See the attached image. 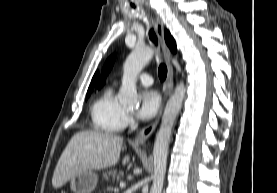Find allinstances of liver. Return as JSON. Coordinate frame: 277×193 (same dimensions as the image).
I'll return each instance as SVG.
<instances>
[{
	"mask_svg": "<svg viewBox=\"0 0 277 193\" xmlns=\"http://www.w3.org/2000/svg\"><path fill=\"white\" fill-rule=\"evenodd\" d=\"M123 144L120 136L101 131H82L75 134L60 156L53 173L52 185L62 187L75 175L115 165ZM130 160L123 158V165Z\"/></svg>",
	"mask_w": 277,
	"mask_h": 193,
	"instance_id": "1",
	"label": "liver"
}]
</instances>
